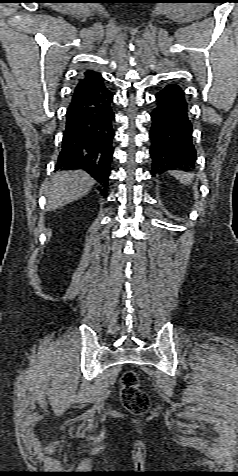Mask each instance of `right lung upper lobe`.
<instances>
[{
  "label": "right lung upper lobe",
  "instance_id": "obj_1",
  "mask_svg": "<svg viewBox=\"0 0 238 476\" xmlns=\"http://www.w3.org/2000/svg\"><path fill=\"white\" fill-rule=\"evenodd\" d=\"M98 77L101 75L97 74L93 70H88L84 73V78L79 79L77 86L75 87L74 93L72 95V99L78 97L83 92L91 88L95 82L97 81Z\"/></svg>",
  "mask_w": 238,
  "mask_h": 476
}]
</instances>
